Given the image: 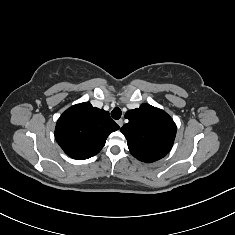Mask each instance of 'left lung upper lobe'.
<instances>
[{
	"label": "left lung upper lobe",
	"instance_id": "1",
	"mask_svg": "<svg viewBox=\"0 0 235 235\" xmlns=\"http://www.w3.org/2000/svg\"><path fill=\"white\" fill-rule=\"evenodd\" d=\"M129 120L120 131L125 135L131 154L140 161L154 162L167 155L176 136L173 119L163 110L149 104L129 110Z\"/></svg>",
	"mask_w": 235,
	"mask_h": 235
}]
</instances>
